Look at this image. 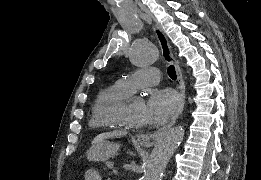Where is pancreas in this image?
Segmentation results:
<instances>
[{"label": "pancreas", "mask_w": 261, "mask_h": 180, "mask_svg": "<svg viewBox=\"0 0 261 180\" xmlns=\"http://www.w3.org/2000/svg\"><path fill=\"white\" fill-rule=\"evenodd\" d=\"M110 163H111L110 159H105L104 163H103V169L104 170H109L110 169Z\"/></svg>", "instance_id": "cf45deb5"}]
</instances>
